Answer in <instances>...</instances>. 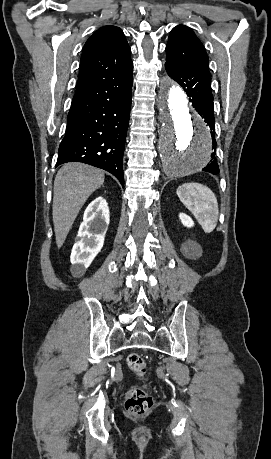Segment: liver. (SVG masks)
<instances>
[{
	"mask_svg": "<svg viewBox=\"0 0 271 459\" xmlns=\"http://www.w3.org/2000/svg\"><path fill=\"white\" fill-rule=\"evenodd\" d=\"M104 172L80 162L60 168L54 182L53 224L57 247L63 245L87 198L104 182Z\"/></svg>",
	"mask_w": 271,
	"mask_h": 459,
	"instance_id": "obj_1",
	"label": "liver"
}]
</instances>
